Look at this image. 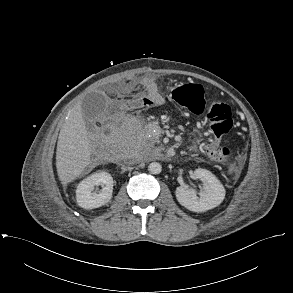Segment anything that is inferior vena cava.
I'll list each match as a JSON object with an SVG mask.
<instances>
[{"mask_svg":"<svg viewBox=\"0 0 293 293\" xmlns=\"http://www.w3.org/2000/svg\"><path fill=\"white\" fill-rule=\"evenodd\" d=\"M135 161L134 160H131L130 162H129V164H132V163H134ZM131 169V167L130 166H122V170L123 171H127V170H130Z\"/></svg>","mask_w":293,"mask_h":293,"instance_id":"602c4592","label":"inferior vena cava"}]
</instances>
